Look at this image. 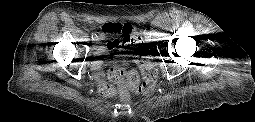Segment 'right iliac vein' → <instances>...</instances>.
I'll return each mask as SVG.
<instances>
[{
  "mask_svg": "<svg viewBox=\"0 0 255 122\" xmlns=\"http://www.w3.org/2000/svg\"><path fill=\"white\" fill-rule=\"evenodd\" d=\"M93 41H94V42H97V41H98V38H95Z\"/></svg>",
  "mask_w": 255,
  "mask_h": 122,
  "instance_id": "right-iliac-vein-1",
  "label": "right iliac vein"
}]
</instances>
